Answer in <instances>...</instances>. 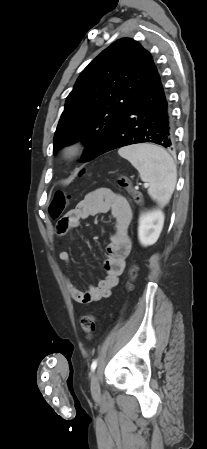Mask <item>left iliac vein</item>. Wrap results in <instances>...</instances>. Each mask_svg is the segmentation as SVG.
<instances>
[{
    "label": "left iliac vein",
    "instance_id": "left-iliac-vein-1",
    "mask_svg": "<svg viewBox=\"0 0 207 449\" xmlns=\"http://www.w3.org/2000/svg\"><path fill=\"white\" fill-rule=\"evenodd\" d=\"M90 389H91V394L94 398H98L100 396V384H99L98 372H94L91 375Z\"/></svg>",
    "mask_w": 207,
    "mask_h": 449
}]
</instances>
